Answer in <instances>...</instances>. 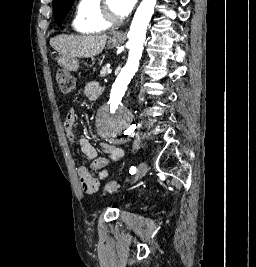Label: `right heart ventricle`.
I'll return each mask as SVG.
<instances>
[{
    "label": "right heart ventricle",
    "mask_w": 256,
    "mask_h": 267,
    "mask_svg": "<svg viewBox=\"0 0 256 267\" xmlns=\"http://www.w3.org/2000/svg\"><path fill=\"white\" fill-rule=\"evenodd\" d=\"M84 15L76 20L73 27L82 36H104L101 24L103 0H81Z\"/></svg>",
    "instance_id": "e07e8e85"
}]
</instances>
